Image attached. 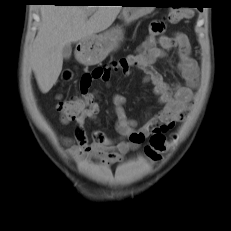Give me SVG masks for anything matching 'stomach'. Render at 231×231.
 <instances>
[{"label":"stomach","mask_w":231,"mask_h":231,"mask_svg":"<svg viewBox=\"0 0 231 231\" xmlns=\"http://www.w3.org/2000/svg\"><path fill=\"white\" fill-rule=\"evenodd\" d=\"M130 4H152L149 0H131ZM154 10V7H124L122 10V19L126 24L136 21ZM124 37V31L121 27H113L102 34L93 35L84 39L80 45V50L76 56L84 64L94 65L103 61L110 52L119 48Z\"/></svg>","instance_id":"obj_1"}]
</instances>
